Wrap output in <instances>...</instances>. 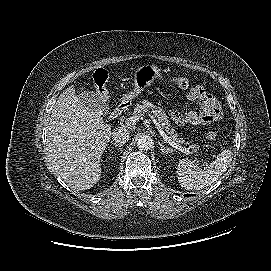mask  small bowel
Instances as JSON below:
<instances>
[{"mask_svg":"<svg viewBox=\"0 0 271 271\" xmlns=\"http://www.w3.org/2000/svg\"><path fill=\"white\" fill-rule=\"evenodd\" d=\"M186 97L190 104L197 102L200 106V111L189 110L184 115L179 111H172L170 116L177 125H208L222 119L223 113L219 101L208 93L203 86L196 85L192 87Z\"/></svg>","mask_w":271,"mask_h":271,"instance_id":"obj_1","label":"small bowel"}]
</instances>
